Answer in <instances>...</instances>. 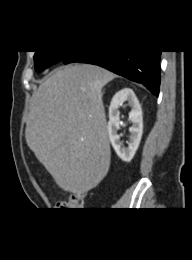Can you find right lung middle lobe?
Returning a JSON list of instances; mask_svg holds the SVG:
<instances>
[{
  "label": "right lung middle lobe",
  "instance_id": "right-lung-middle-lobe-1",
  "mask_svg": "<svg viewBox=\"0 0 192 260\" xmlns=\"http://www.w3.org/2000/svg\"><path fill=\"white\" fill-rule=\"evenodd\" d=\"M69 51H36L34 55L35 69L39 72L62 61Z\"/></svg>",
  "mask_w": 192,
  "mask_h": 260
}]
</instances>
